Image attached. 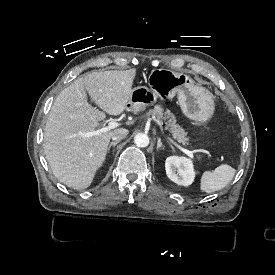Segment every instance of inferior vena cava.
Listing matches in <instances>:
<instances>
[{
  "label": "inferior vena cava",
  "instance_id": "inferior-vena-cava-1",
  "mask_svg": "<svg viewBox=\"0 0 275 275\" xmlns=\"http://www.w3.org/2000/svg\"><path fill=\"white\" fill-rule=\"evenodd\" d=\"M129 131L127 129L124 128H120V129H116L112 135V140L116 141V140H122L124 139L127 135H128Z\"/></svg>",
  "mask_w": 275,
  "mask_h": 275
}]
</instances>
